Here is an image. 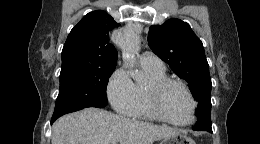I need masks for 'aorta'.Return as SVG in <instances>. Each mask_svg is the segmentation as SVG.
Listing matches in <instances>:
<instances>
[{"label":"aorta","instance_id":"obj_1","mask_svg":"<svg viewBox=\"0 0 260 144\" xmlns=\"http://www.w3.org/2000/svg\"><path fill=\"white\" fill-rule=\"evenodd\" d=\"M120 47L122 49V55H123L124 62L126 64H129V66H130V70H129L130 75L135 80H140L142 78V76L136 70H133V67L131 65V62L134 59V55L140 49L139 33L136 31H128V32L124 33L121 37Z\"/></svg>","mask_w":260,"mask_h":144}]
</instances>
